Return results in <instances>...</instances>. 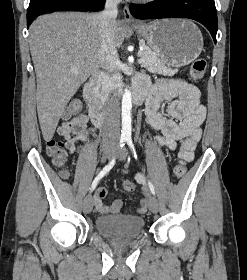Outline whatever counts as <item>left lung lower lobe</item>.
<instances>
[{"instance_id": "0a47b994", "label": "left lung lower lobe", "mask_w": 247, "mask_h": 280, "mask_svg": "<svg viewBox=\"0 0 247 280\" xmlns=\"http://www.w3.org/2000/svg\"><path fill=\"white\" fill-rule=\"evenodd\" d=\"M137 19L189 18L203 24L216 43L217 12L214 0H155L145 5H131Z\"/></svg>"}]
</instances>
